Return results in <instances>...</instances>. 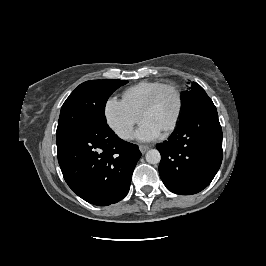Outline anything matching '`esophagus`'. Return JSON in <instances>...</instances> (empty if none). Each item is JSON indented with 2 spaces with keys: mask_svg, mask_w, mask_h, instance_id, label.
Returning a JSON list of instances; mask_svg holds the SVG:
<instances>
[{
  "mask_svg": "<svg viewBox=\"0 0 266 266\" xmlns=\"http://www.w3.org/2000/svg\"><path fill=\"white\" fill-rule=\"evenodd\" d=\"M139 149H140L141 153L144 154L149 149V146H147V145H140L139 146Z\"/></svg>",
  "mask_w": 266,
  "mask_h": 266,
  "instance_id": "1",
  "label": "esophagus"
}]
</instances>
